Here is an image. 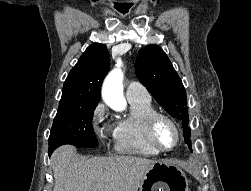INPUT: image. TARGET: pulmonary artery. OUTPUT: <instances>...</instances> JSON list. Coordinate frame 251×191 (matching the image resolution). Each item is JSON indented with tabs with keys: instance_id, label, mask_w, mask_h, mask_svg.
I'll use <instances>...</instances> for the list:
<instances>
[{
	"instance_id": "pulmonary-artery-1",
	"label": "pulmonary artery",
	"mask_w": 251,
	"mask_h": 191,
	"mask_svg": "<svg viewBox=\"0 0 251 191\" xmlns=\"http://www.w3.org/2000/svg\"><path fill=\"white\" fill-rule=\"evenodd\" d=\"M126 96L128 100L146 97L152 101V97L150 95H146L145 92L135 82H130L127 84Z\"/></svg>"
}]
</instances>
